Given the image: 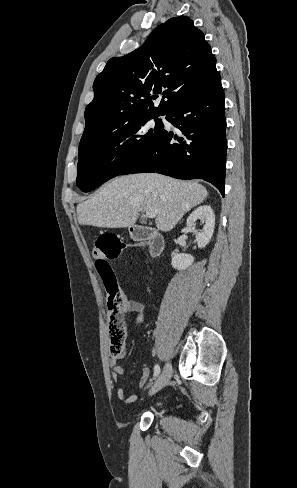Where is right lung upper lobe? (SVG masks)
Instances as JSON below:
<instances>
[{"label":"right lung upper lobe","mask_w":297,"mask_h":488,"mask_svg":"<svg viewBox=\"0 0 297 488\" xmlns=\"http://www.w3.org/2000/svg\"><path fill=\"white\" fill-rule=\"evenodd\" d=\"M218 78L216 59L189 17L171 18L130 54L110 59L96 77L81 139L107 134L144 117L167 115ZM159 106L152 99L161 92Z\"/></svg>","instance_id":"right-lung-upper-lobe-1"}]
</instances>
